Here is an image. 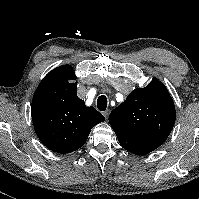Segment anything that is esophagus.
<instances>
[{"label":"esophagus","mask_w":199,"mask_h":199,"mask_svg":"<svg viewBox=\"0 0 199 199\" xmlns=\"http://www.w3.org/2000/svg\"><path fill=\"white\" fill-rule=\"evenodd\" d=\"M109 114H110V110L108 109L103 112V115L105 116L106 119H108Z\"/></svg>","instance_id":"34e87169"}]
</instances>
